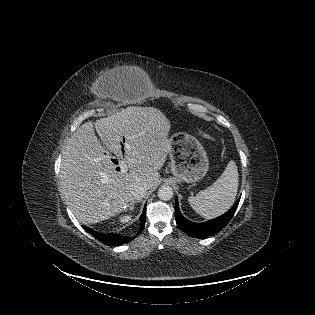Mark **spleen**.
<instances>
[{"mask_svg": "<svg viewBox=\"0 0 315 315\" xmlns=\"http://www.w3.org/2000/svg\"><path fill=\"white\" fill-rule=\"evenodd\" d=\"M238 190V170L231 160L221 176L209 187L188 198L195 212L206 219L217 217L231 208Z\"/></svg>", "mask_w": 315, "mask_h": 315, "instance_id": "obj_1", "label": "spleen"}]
</instances>
